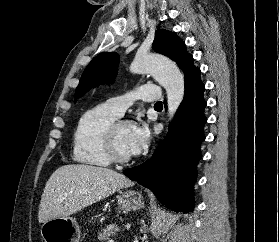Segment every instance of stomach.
I'll return each mask as SVG.
<instances>
[{
  "instance_id": "1",
  "label": "stomach",
  "mask_w": 279,
  "mask_h": 242,
  "mask_svg": "<svg viewBox=\"0 0 279 242\" xmlns=\"http://www.w3.org/2000/svg\"><path fill=\"white\" fill-rule=\"evenodd\" d=\"M142 195L134 190H126L119 196L118 205L121 210L136 211L142 208ZM44 242H79L80 228L72 217H58L44 222L41 226Z\"/></svg>"
}]
</instances>
